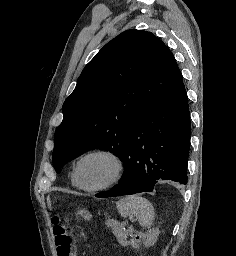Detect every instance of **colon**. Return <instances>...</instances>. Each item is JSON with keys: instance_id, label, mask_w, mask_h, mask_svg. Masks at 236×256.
Returning a JSON list of instances; mask_svg holds the SVG:
<instances>
[{"instance_id": "colon-1", "label": "colon", "mask_w": 236, "mask_h": 256, "mask_svg": "<svg viewBox=\"0 0 236 256\" xmlns=\"http://www.w3.org/2000/svg\"><path fill=\"white\" fill-rule=\"evenodd\" d=\"M52 231L57 256H74L72 251V237L64 225L60 215H54L52 219Z\"/></svg>"}]
</instances>
